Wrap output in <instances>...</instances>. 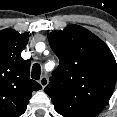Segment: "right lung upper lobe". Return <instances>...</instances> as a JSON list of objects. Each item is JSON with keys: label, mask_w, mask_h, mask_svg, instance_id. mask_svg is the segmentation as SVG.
Wrapping results in <instances>:
<instances>
[{"label": "right lung upper lobe", "mask_w": 117, "mask_h": 117, "mask_svg": "<svg viewBox=\"0 0 117 117\" xmlns=\"http://www.w3.org/2000/svg\"><path fill=\"white\" fill-rule=\"evenodd\" d=\"M28 39L27 33L19 34L13 29L0 31V117L22 115L32 92L42 88L30 79V60L21 57Z\"/></svg>", "instance_id": "cb5924a9"}]
</instances>
